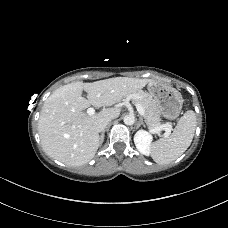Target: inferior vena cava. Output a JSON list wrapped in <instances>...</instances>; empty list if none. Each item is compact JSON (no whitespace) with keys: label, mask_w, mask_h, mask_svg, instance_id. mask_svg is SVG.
Masks as SVG:
<instances>
[{"label":"inferior vena cava","mask_w":228,"mask_h":228,"mask_svg":"<svg viewBox=\"0 0 228 228\" xmlns=\"http://www.w3.org/2000/svg\"><path fill=\"white\" fill-rule=\"evenodd\" d=\"M111 121L110 118H107V119H101V120H98L94 123V128L97 132H102L106 126L109 124V122Z\"/></svg>","instance_id":"602c4592"}]
</instances>
